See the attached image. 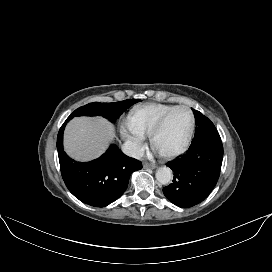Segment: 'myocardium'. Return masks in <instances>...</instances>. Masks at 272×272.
<instances>
[{"mask_svg": "<svg viewBox=\"0 0 272 272\" xmlns=\"http://www.w3.org/2000/svg\"><path fill=\"white\" fill-rule=\"evenodd\" d=\"M180 109H184L186 110L189 115H190V128H189V132L187 134V137L185 139V141L175 150L170 151V152H165V153H159L163 158H173L175 156L180 155L181 153H183L190 145L192 139H193V135L195 132V127H196V119L194 116L193 111L186 105H178L173 107L172 109H170L169 111H167L165 114H163L160 119L157 121V123L155 124V126L153 127V129L151 130L150 134H149V142L150 145L153 147V142L155 137L159 134V132L163 129L167 119L170 117V115Z\"/></svg>", "mask_w": 272, "mask_h": 272, "instance_id": "f54148a6", "label": "myocardium"}]
</instances>
